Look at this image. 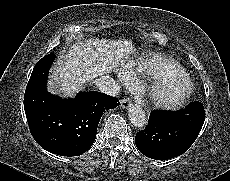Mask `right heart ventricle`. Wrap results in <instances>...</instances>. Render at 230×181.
<instances>
[{
  "mask_svg": "<svg viewBox=\"0 0 230 181\" xmlns=\"http://www.w3.org/2000/svg\"><path fill=\"white\" fill-rule=\"evenodd\" d=\"M183 70L179 63L160 54H150L123 66V74L129 79L143 77L153 80L158 76Z\"/></svg>",
  "mask_w": 230,
  "mask_h": 181,
  "instance_id": "1",
  "label": "right heart ventricle"
}]
</instances>
